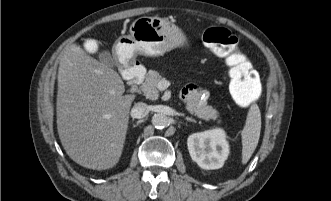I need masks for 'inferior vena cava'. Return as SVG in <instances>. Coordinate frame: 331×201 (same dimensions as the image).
I'll list each match as a JSON object with an SVG mask.
<instances>
[{"mask_svg":"<svg viewBox=\"0 0 331 201\" xmlns=\"http://www.w3.org/2000/svg\"><path fill=\"white\" fill-rule=\"evenodd\" d=\"M150 109L149 106L146 103L138 102L134 105V107L131 110V116L133 118H144L148 115Z\"/></svg>","mask_w":331,"mask_h":201,"instance_id":"1","label":"inferior vena cava"}]
</instances>
